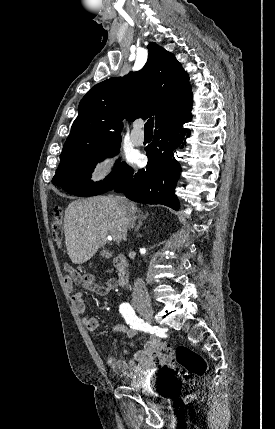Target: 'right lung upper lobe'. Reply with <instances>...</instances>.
Instances as JSON below:
<instances>
[{
    "instance_id": "cb5924a9",
    "label": "right lung upper lobe",
    "mask_w": 275,
    "mask_h": 429,
    "mask_svg": "<svg viewBox=\"0 0 275 429\" xmlns=\"http://www.w3.org/2000/svg\"><path fill=\"white\" fill-rule=\"evenodd\" d=\"M148 60L137 72L107 79L90 89L79 104L78 116L60 160L83 155L121 139V121L155 115V128L191 115L188 74L175 56L150 42Z\"/></svg>"
}]
</instances>
